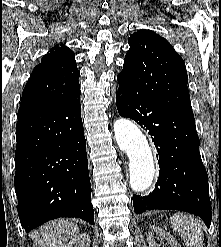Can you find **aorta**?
Returning <instances> with one entry per match:
<instances>
[{"label":"aorta","mask_w":221,"mask_h":247,"mask_svg":"<svg viewBox=\"0 0 221 247\" xmlns=\"http://www.w3.org/2000/svg\"><path fill=\"white\" fill-rule=\"evenodd\" d=\"M116 142L129 157L130 186L135 192L147 190L153 181L155 168L152 150L146 135L128 119L114 123Z\"/></svg>","instance_id":"aorta-1"}]
</instances>
